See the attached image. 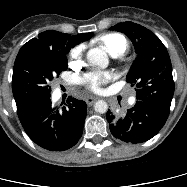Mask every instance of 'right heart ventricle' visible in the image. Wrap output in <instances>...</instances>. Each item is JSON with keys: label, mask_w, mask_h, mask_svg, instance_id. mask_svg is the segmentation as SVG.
<instances>
[{"label": "right heart ventricle", "mask_w": 187, "mask_h": 187, "mask_svg": "<svg viewBox=\"0 0 187 187\" xmlns=\"http://www.w3.org/2000/svg\"><path fill=\"white\" fill-rule=\"evenodd\" d=\"M98 43L112 56L123 55L128 49L126 38L118 33H108L98 38Z\"/></svg>", "instance_id": "e07e8e85"}]
</instances>
